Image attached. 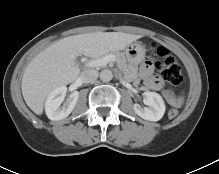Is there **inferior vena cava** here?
Segmentation results:
<instances>
[{"label": "inferior vena cava", "mask_w": 219, "mask_h": 174, "mask_svg": "<svg viewBox=\"0 0 219 174\" xmlns=\"http://www.w3.org/2000/svg\"><path fill=\"white\" fill-rule=\"evenodd\" d=\"M98 77V72L96 70H85L81 73L80 78L84 83H91L95 81Z\"/></svg>", "instance_id": "602c4592"}]
</instances>
